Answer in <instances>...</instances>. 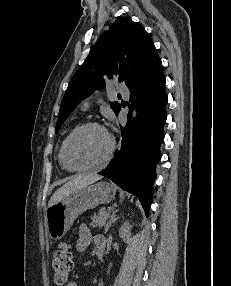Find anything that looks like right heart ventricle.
<instances>
[{
    "mask_svg": "<svg viewBox=\"0 0 231 286\" xmlns=\"http://www.w3.org/2000/svg\"><path fill=\"white\" fill-rule=\"evenodd\" d=\"M63 143H64V141L62 142V144H61V146H60V149H59V153H58L59 164H60V166H61L62 168H64L63 165H62V146H63Z\"/></svg>",
    "mask_w": 231,
    "mask_h": 286,
    "instance_id": "obj_1",
    "label": "right heart ventricle"
}]
</instances>
